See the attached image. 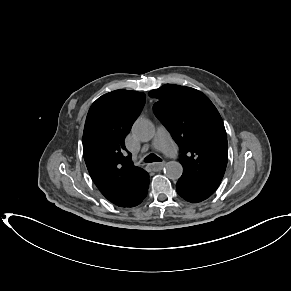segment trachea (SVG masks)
Returning <instances> with one entry per match:
<instances>
[{
  "label": "trachea",
  "instance_id": "1",
  "mask_svg": "<svg viewBox=\"0 0 291 291\" xmlns=\"http://www.w3.org/2000/svg\"><path fill=\"white\" fill-rule=\"evenodd\" d=\"M144 161L146 163H152V162H159L162 161L161 158H159L158 156H156L155 154H149L147 157L144 158Z\"/></svg>",
  "mask_w": 291,
  "mask_h": 291
}]
</instances>
